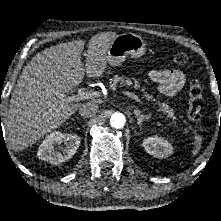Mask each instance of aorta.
<instances>
[{"instance_id": "obj_1", "label": "aorta", "mask_w": 221, "mask_h": 221, "mask_svg": "<svg viewBox=\"0 0 221 221\" xmlns=\"http://www.w3.org/2000/svg\"><path fill=\"white\" fill-rule=\"evenodd\" d=\"M126 123V118L123 113H114L110 118V124L115 129L122 128Z\"/></svg>"}]
</instances>
